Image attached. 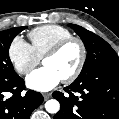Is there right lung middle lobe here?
I'll return each instance as SVG.
<instances>
[{"mask_svg":"<svg viewBox=\"0 0 119 119\" xmlns=\"http://www.w3.org/2000/svg\"><path fill=\"white\" fill-rule=\"evenodd\" d=\"M26 28L27 26H23L0 31V77L16 75L9 58V47L14 37Z\"/></svg>","mask_w":119,"mask_h":119,"instance_id":"1","label":"right lung middle lobe"}]
</instances>
